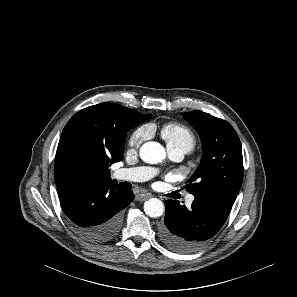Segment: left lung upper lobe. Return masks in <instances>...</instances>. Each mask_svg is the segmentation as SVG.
Instances as JSON below:
<instances>
[{
	"mask_svg": "<svg viewBox=\"0 0 297 297\" xmlns=\"http://www.w3.org/2000/svg\"><path fill=\"white\" fill-rule=\"evenodd\" d=\"M203 142L201 163L187 181V191L195 197L208 195L237 196L243 179L241 142L226 121L203 111L183 114Z\"/></svg>",
	"mask_w": 297,
	"mask_h": 297,
	"instance_id": "1",
	"label": "left lung upper lobe"
}]
</instances>
